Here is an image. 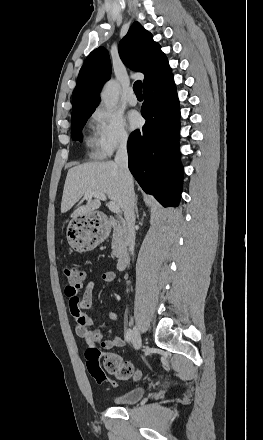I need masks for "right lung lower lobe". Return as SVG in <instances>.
<instances>
[{"instance_id": "98d812e1", "label": "right lung lower lobe", "mask_w": 263, "mask_h": 440, "mask_svg": "<svg viewBox=\"0 0 263 440\" xmlns=\"http://www.w3.org/2000/svg\"><path fill=\"white\" fill-rule=\"evenodd\" d=\"M146 123L129 137V169L141 188L163 206H177L182 188L179 103L173 75L144 89L141 108Z\"/></svg>"}]
</instances>
